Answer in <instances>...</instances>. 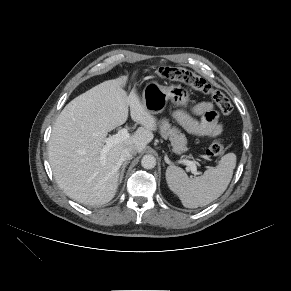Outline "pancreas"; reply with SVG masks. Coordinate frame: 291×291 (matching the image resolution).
Wrapping results in <instances>:
<instances>
[{"instance_id":"pancreas-1","label":"pancreas","mask_w":291,"mask_h":291,"mask_svg":"<svg viewBox=\"0 0 291 291\" xmlns=\"http://www.w3.org/2000/svg\"><path fill=\"white\" fill-rule=\"evenodd\" d=\"M161 135L171 141L173 152L181 154L187 150V139L184 134H181L178 129L171 128L167 120H162L160 125Z\"/></svg>"}]
</instances>
